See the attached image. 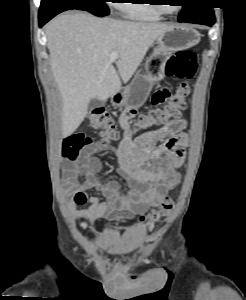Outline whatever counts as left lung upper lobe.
<instances>
[{
  "label": "left lung upper lobe",
  "instance_id": "obj_1",
  "mask_svg": "<svg viewBox=\"0 0 246 300\" xmlns=\"http://www.w3.org/2000/svg\"><path fill=\"white\" fill-rule=\"evenodd\" d=\"M190 5L183 6L179 13V21H184L188 18L195 17L202 13L212 10V7L206 4V0H186Z\"/></svg>",
  "mask_w": 246,
  "mask_h": 300
}]
</instances>
